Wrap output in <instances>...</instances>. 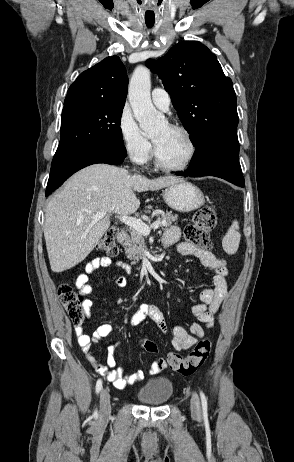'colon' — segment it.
Returning a JSON list of instances; mask_svg holds the SVG:
<instances>
[{"label": "colon", "instance_id": "5ec220e1", "mask_svg": "<svg viewBox=\"0 0 294 462\" xmlns=\"http://www.w3.org/2000/svg\"><path fill=\"white\" fill-rule=\"evenodd\" d=\"M216 222L214 208L210 205L201 207L194 213L191 223L185 228L184 234L186 240L199 251L210 254L212 243L209 234L216 226ZM116 235L117 229L114 227L110 228L99 241L97 249L109 256H115L118 252V247L115 243ZM58 296L73 324L76 326L81 325L85 318L83 296L68 283H63L59 286ZM140 345L147 352H157L156 344L150 340H142ZM211 349V340L204 338L198 341L188 355L181 356L172 353L168 355L166 360L161 359L160 364L164 367H169L179 374L185 376L192 375L205 363L211 353Z\"/></svg>", "mask_w": 294, "mask_h": 462}]
</instances>
